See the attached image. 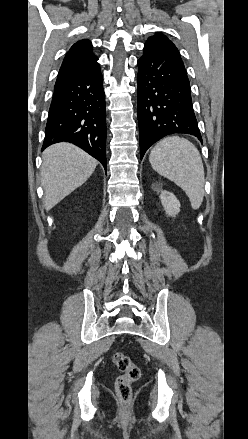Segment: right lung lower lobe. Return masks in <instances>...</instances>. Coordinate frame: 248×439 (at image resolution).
<instances>
[{"mask_svg":"<svg viewBox=\"0 0 248 439\" xmlns=\"http://www.w3.org/2000/svg\"><path fill=\"white\" fill-rule=\"evenodd\" d=\"M99 64L55 84L42 150L70 142L106 170V106Z\"/></svg>","mask_w":248,"mask_h":439,"instance_id":"right-lung-lower-lobe-1","label":"right lung lower lobe"}]
</instances>
